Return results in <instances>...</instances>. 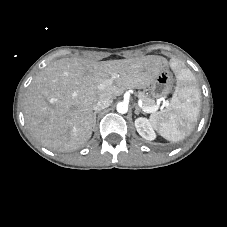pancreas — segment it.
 I'll return each instance as SVG.
<instances>
[{
	"label": "pancreas",
	"mask_w": 227,
	"mask_h": 227,
	"mask_svg": "<svg viewBox=\"0 0 227 227\" xmlns=\"http://www.w3.org/2000/svg\"><path fill=\"white\" fill-rule=\"evenodd\" d=\"M138 97L142 101L143 107H153L155 106V100L150 98L144 92H139Z\"/></svg>",
	"instance_id": "1"
}]
</instances>
